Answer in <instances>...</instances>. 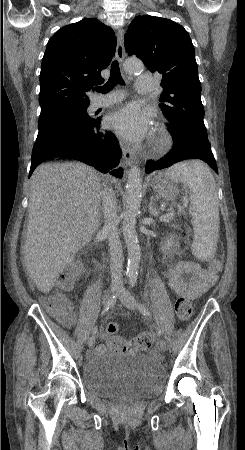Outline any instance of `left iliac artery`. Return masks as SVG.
Instances as JSON below:
<instances>
[{
    "instance_id": "obj_1",
    "label": "left iliac artery",
    "mask_w": 245,
    "mask_h": 450,
    "mask_svg": "<svg viewBox=\"0 0 245 450\" xmlns=\"http://www.w3.org/2000/svg\"><path fill=\"white\" fill-rule=\"evenodd\" d=\"M136 277H131L129 280V284H130V288H133L135 286L136 283ZM138 309L139 311L145 316V317H150V311L148 310V308L143 305L142 303H137ZM156 331H157V335L161 336V331L158 327H156Z\"/></svg>"
}]
</instances>
